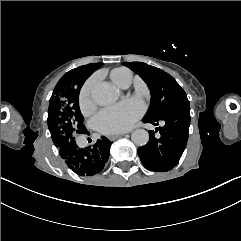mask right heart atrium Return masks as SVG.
<instances>
[{"label": "right heart atrium", "mask_w": 241, "mask_h": 241, "mask_svg": "<svg viewBox=\"0 0 241 241\" xmlns=\"http://www.w3.org/2000/svg\"><path fill=\"white\" fill-rule=\"evenodd\" d=\"M79 107L83 114L88 115L94 110V103L89 96V90L83 89L79 95Z\"/></svg>", "instance_id": "right-heart-atrium-1"}]
</instances>
